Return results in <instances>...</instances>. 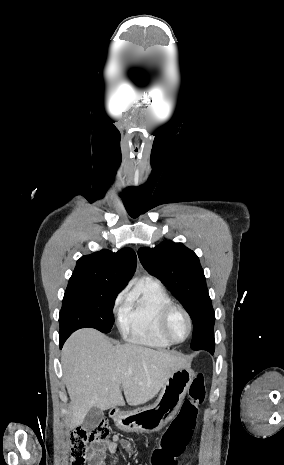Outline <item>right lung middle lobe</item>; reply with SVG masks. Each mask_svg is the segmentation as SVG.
<instances>
[{
    "label": "right lung middle lobe",
    "mask_w": 284,
    "mask_h": 465,
    "mask_svg": "<svg viewBox=\"0 0 284 465\" xmlns=\"http://www.w3.org/2000/svg\"><path fill=\"white\" fill-rule=\"evenodd\" d=\"M119 292L98 283L69 281L59 314V335L85 327L109 333L114 323V301Z\"/></svg>",
    "instance_id": "1"
}]
</instances>
